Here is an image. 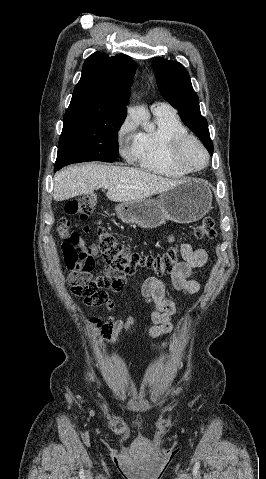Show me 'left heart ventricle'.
<instances>
[{"instance_id": "1", "label": "left heart ventricle", "mask_w": 266, "mask_h": 479, "mask_svg": "<svg viewBox=\"0 0 266 479\" xmlns=\"http://www.w3.org/2000/svg\"><path fill=\"white\" fill-rule=\"evenodd\" d=\"M184 159L189 166L197 167L203 163L204 156L196 145H189L184 151Z\"/></svg>"}]
</instances>
